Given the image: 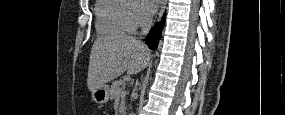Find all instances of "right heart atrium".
I'll use <instances>...</instances> for the list:
<instances>
[{
    "label": "right heart atrium",
    "mask_w": 285,
    "mask_h": 115,
    "mask_svg": "<svg viewBox=\"0 0 285 115\" xmlns=\"http://www.w3.org/2000/svg\"><path fill=\"white\" fill-rule=\"evenodd\" d=\"M149 22L148 18L141 11H134L130 14V31H135L139 27L145 26Z\"/></svg>",
    "instance_id": "d8ad5b80"
}]
</instances>
